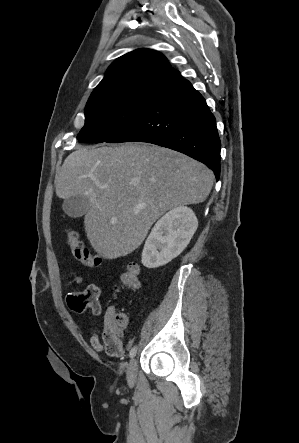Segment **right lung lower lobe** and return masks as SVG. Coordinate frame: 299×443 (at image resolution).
Masks as SVG:
<instances>
[{"label": "right lung lower lobe", "instance_id": "obj_1", "mask_svg": "<svg viewBox=\"0 0 299 443\" xmlns=\"http://www.w3.org/2000/svg\"><path fill=\"white\" fill-rule=\"evenodd\" d=\"M147 142L182 152L208 165L218 181L220 139L215 117L188 80L165 92L108 143Z\"/></svg>", "mask_w": 299, "mask_h": 443}]
</instances>
